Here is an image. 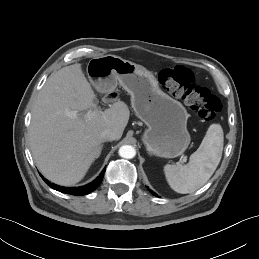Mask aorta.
Returning a JSON list of instances; mask_svg holds the SVG:
<instances>
[{
    "label": "aorta",
    "mask_w": 259,
    "mask_h": 259,
    "mask_svg": "<svg viewBox=\"0 0 259 259\" xmlns=\"http://www.w3.org/2000/svg\"><path fill=\"white\" fill-rule=\"evenodd\" d=\"M136 151L131 145H123L119 148V155L126 159H131L135 156Z\"/></svg>",
    "instance_id": "aorta-1"
}]
</instances>
